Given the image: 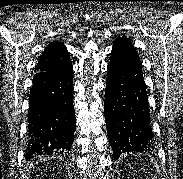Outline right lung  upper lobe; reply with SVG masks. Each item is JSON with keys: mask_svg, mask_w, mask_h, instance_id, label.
<instances>
[{"mask_svg": "<svg viewBox=\"0 0 183 179\" xmlns=\"http://www.w3.org/2000/svg\"><path fill=\"white\" fill-rule=\"evenodd\" d=\"M72 66L69 52L66 47L58 41L51 42L44 49L36 66L39 71H59Z\"/></svg>", "mask_w": 183, "mask_h": 179, "instance_id": "cb5924a9", "label": "right lung upper lobe"}]
</instances>
